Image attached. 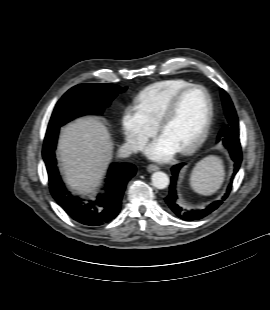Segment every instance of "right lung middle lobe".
I'll return each instance as SVG.
<instances>
[{
  "label": "right lung middle lobe",
  "instance_id": "obj_1",
  "mask_svg": "<svg viewBox=\"0 0 270 310\" xmlns=\"http://www.w3.org/2000/svg\"><path fill=\"white\" fill-rule=\"evenodd\" d=\"M126 88L114 84H80L68 90L56 104L48 126H62L86 114H102Z\"/></svg>",
  "mask_w": 270,
  "mask_h": 310
}]
</instances>
